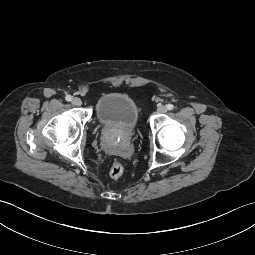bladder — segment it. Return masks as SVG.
<instances>
[{
	"label": "bladder",
	"mask_w": 255,
	"mask_h": 255,
	"mask_svg": "<svg viewBox=\"0 0 255 255\" xmlns=\"http://www.w3.org/2000/svg\"><path fill=\"white\" fill-rule=\"evenodd\" d=\"M95 115L97 121L109 129L132 132L139 123L140 109L130 95L113 92L101 98Z\"/></svg>",
	"instance_id": "bladder-1"
}]
</instances>
